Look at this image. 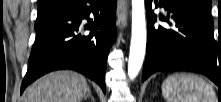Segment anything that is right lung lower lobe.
<instances>
[{"mask_svg": "<svg viewBox=\"0 0 221 102\" xmlns=\"http://www.w3.org/2000/svg\"><path fill=\"white\" fill-rule=\"evenodd\" d=\"M116 2L73 0L68 8L35 27L36 39L20 93L40 76L59 69L78 71L105 92L107 56L117 36ZM90 14L94 19L89 18ZM83 19L89 25L83 26Z\"/></svg>", "mask_w": 221, "mask_h": 102, "instance_id": "1", "label": "right lung lower lobe"}]
</instances>
